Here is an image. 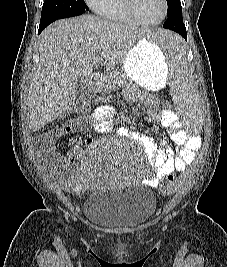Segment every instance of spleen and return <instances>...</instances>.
I'll use <instances>...</instances> for the list:
<instances>
[{
	"label": "spleen",
	"mask_w": 227,
	"mask_h": 267,
	"mask_svg": "<svg viewBox=\"0 0 227 267\" xmlns=\"http://www.w3.org/2000/svg\"><path fill=\"white\" fill-rule=\"evenodd\" d=\"M151 29L157 30L158 26L152 25ZM178 36V33H169V30L165 29L164 33H152L147 40L157 43V47L166 55V63H171L169 82L175 105H200L188 72L190 63H185L188 50L182 38ZM177 115H201V106H178ZM201 121L202 116H180L179 125H182V129H188V134H201Z\"/></svg>",
	"instance_id": "spleen-1"
}]
</instances>
